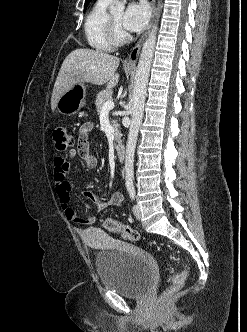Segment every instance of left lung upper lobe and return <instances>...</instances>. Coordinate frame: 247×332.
<instances>
[{
  "mask_svg": "<svg viewBox=\"0 0 247 332\" xmlns=\"http://www.w3.org/2000/svg\"><path fill=\"white\" fill-rule=\"evenodd\" d=\"M90 1H91V0H86V1H85L84 10H86V8H87V6H88V4H89Z\"/></svg>",
  "mask_w": 247,
  "mask_h": 332,
  "instance_id": "left-lung-upper-lobe-1",
  "label": "left lung upper lobe"
}]
</instances>
